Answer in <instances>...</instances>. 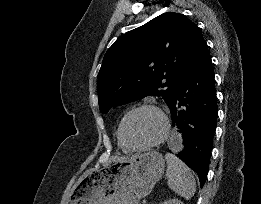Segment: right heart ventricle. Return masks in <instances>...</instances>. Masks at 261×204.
Masks as SVG:
<instances>
[{"instance_id": "1", "label": "right heart ventricle", "mask_w": 261, "mask_h": 204, "mask_svg": "<svg viewBox=\"0 0 261 204\" xmlns=\"http://www.w3.org/2000/svg\"><path fill=\"white\" fill-rule=\"evenodd\" d=\"M117 138H118V135H117ZM118 145H119V147L121 148V150L123 151V152H129V150L128 149H126L121 143H120V141H119V139H118Z\"/></svg>"}]
</instances>
